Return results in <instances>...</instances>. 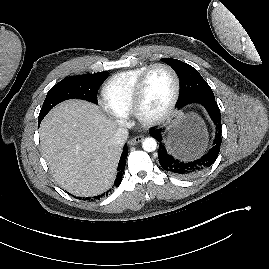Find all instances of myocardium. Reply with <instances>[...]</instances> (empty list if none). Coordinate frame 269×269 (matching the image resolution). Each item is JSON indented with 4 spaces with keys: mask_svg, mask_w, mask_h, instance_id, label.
<instances>
[{
    "mask_svg": "<svg viewBox=\"0 0 269 269\" xmlns=\"http://www.w3.org/2000/svg\"><path fill=\"white\" fill-rule=\"evenodd\" d=\"M156 68L168 70L174 81V90L172 97L162 112L157 115L148 116L143 112V97L147 78ZM181 82L177 72L168 64L155 63L147 67L137 81L132 99V114L144 126H153L166 120L173 112L180 96Z\"/></svg>",
    "mask_w": 269,
    "mask_h": 269,
    "instance_id": "myocardium-1",
    "label": "myocardium"
}]
</instances>
